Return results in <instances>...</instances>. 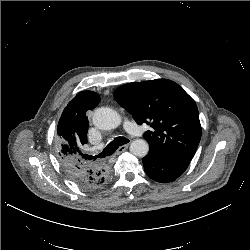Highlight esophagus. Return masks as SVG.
<instances>
[{
  "mask_svg": "<svg viewBox=\"0 0 250 250\" xmlns=\"http://www.w3.org/2000/svg\"><path fill=\"white\" fill-rule=\"evenodd\" d=\"M129 144H125V145H122L118 148L116 154H120L122 152H124L127 148H128Z\"/></svg>",
  "mask_w": 250,
  "mask_h": 250,
  "instance_id": "esophagus-1",
  "label": "esophagus"
}]
</instances>
